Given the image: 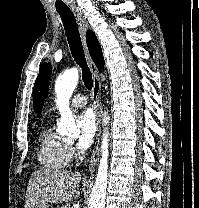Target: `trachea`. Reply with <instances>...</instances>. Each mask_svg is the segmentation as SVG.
<instances>
[{"instance_id":"trachea-1","label":"trachea","mask_w":199,"mask_h":208,"mask_svg":"<svg viewBox=\"0 0 199 208\" xmlns=\"http://www.w3.org/2000/svg\"><path fill=\"white\" fill-rule=\"evenodd\" d=\"M57 12L61 16L72 56L82 69V80L84 85L88 90H91L93 87L92 74L85 59L75 17L70 9H57Z\"/></svg>"}]
</instances>
